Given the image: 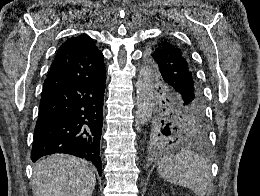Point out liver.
I'll return each instance as SVG.
<instances>
[{"label":"liver","instance_id":"1","mask_svg":"<svg viewBox=\"0 0 260 196\" xmlns=\"http://www.w3.org/2000/svg\"><path fill=\"white\" fill-rule=\"evenodd\" d=\"M95 184L89 162L74 156L53 154L34 166V196H91Z\"/></svg>","mask_w":260,"mask_h":196}]
</instances>
